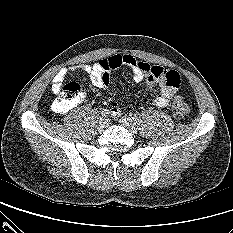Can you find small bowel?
<instances>
[{
	"instance_id": "1",
	"label": "small bowel",
	"mask_w": 233,
	"mask_h": 233,
	"mask_svg": "<svg viewBox=\"0 0 233 233\" xmlns=\"http://www.w3.org/2000/svg\"><path fill=\"white\" fill-rule=\"evenodd\" d=\"M121 65L128 66L133 73L136 82L146 81L150 90L156 86L160 87V95L153 101L155 107H165L178 91L180 85V76L175 70L165 69L157 65H149L148 63L138 61L131 55L116 54L107 58H103L98 62L89 65L80 66V70L85 72L92 85L97 88H107L110 83L111 72ZM74 71V68H61L53 77L52 91L58 94L68 75ZM127 101L122 96L120 103H114L111 107V113L114 116L120 115Z\"/></svg>"
}]
</instances>
